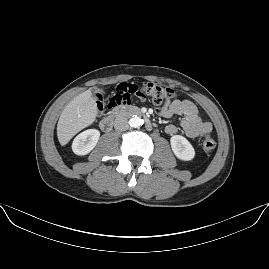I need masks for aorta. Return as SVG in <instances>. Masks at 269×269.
<instances>
[{"instance_id": "obj_1", "label": "aorta", "mask_w": 269, "mask_h": 269, "mask_svg": "<svg viewBox=\"0 0 269 269\" xmlns=\"http://www.w3.org/2000/svg\"><path fill=\"white\" fill-rule=\"evenodd\" d=\"M129 126L132 128H138L142 125V119L139 116H134L129 119Z\"/></svg>"}]
</instances>
